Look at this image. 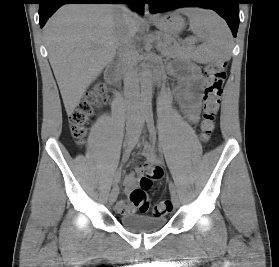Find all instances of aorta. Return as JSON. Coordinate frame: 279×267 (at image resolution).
Returning a JSON list of instances; mask_svg holds the SVG:
<instances>
[{"label":"aorta","instance_id":"1","mask_svg":"<svg viewBox=\"0 0 279 267\" xmlns=\"http://www.w3.org/2000/svg\"><path fill=\"white\" fill-rule=\"evenodd\" d=\"M152 84V73L150 67L146 66L141 81V104L144 110H148L151 107Z\"/></svg>","mask_w":279,"mask_h":267}]
</instances>
